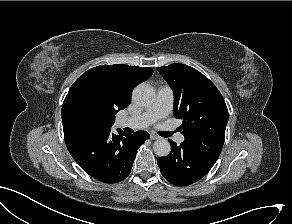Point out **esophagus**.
Returning <instances> with one entry per match:
<instances>
[{
	"label": "esophagus",
	"instance_id": "esophagus-1",
	"mask_svg": "<svg viewBox=\"0 0 292 224\" xmlns=\"http://www.w3.org/2000/svg\"><path fill=\"white\" fill-rule=\"evenodd\" d=\"M150 139L151 140H158V139H160V136L156 135L155 133H151L150 134Z\"/></svg>",
	"mask_w": 292,
	"mask_h": 224
}]
</instances>
